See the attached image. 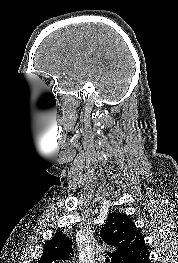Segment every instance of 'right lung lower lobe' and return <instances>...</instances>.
Masks as SVG:
<instances>
[{"instance_id":"obj_1","label":"right lung lower lobe","mask_w":178,"mask_h":263,"mask_svg":"<svg viewBox=\"0 0 178 263\" xmlns=\"http://www.w3.org/2000/svg\"><path fill=\"white\" fill-rule=\"evenodd\" d=\"M134 263H150L148 250L144 252Z\"/></svg>"}]
</instances>
